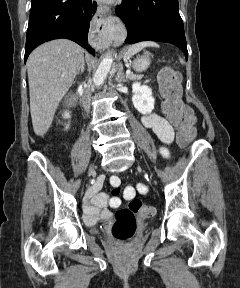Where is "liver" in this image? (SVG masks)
<instances>
[{"mask_svg": "<svg viewBox=\"0 0 240 288\" xmlns=\"http://www.w3.org/2000/svg\"><path fill=\"white\" fill-rule=\"evenodd\" d=\"M84 62V50L67 39L37 47L27 61L33 130L44 136L51 127L59 102L72 86Z\"/></svg>", "mask_w": 240, "mask_h": 288, "instance_id": "obj_1", "label": "liver"}]
</instances>
